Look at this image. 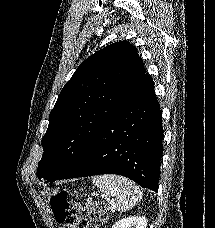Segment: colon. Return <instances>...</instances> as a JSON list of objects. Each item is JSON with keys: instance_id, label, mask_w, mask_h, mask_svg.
Wrapping results in <instances>:
<instances>
[{"instance_id": "colon-1", "label": "colon", "mask_w": 215, "mask_h": 228, "mask_svg": "<svg viewBox=\"0 0 215 228\" xmlns=\"http://www.w3.org/2000/svg\"><path fill=\"white\" fill-rule=\"evenodd\" d=\"M51 209L56 221L64 228H100L108 218L106 204L86 194L73 199L66 192H59L51 198ZM82 211L89 215V219L80 217Z\"/></svg>"}]
</instances>
